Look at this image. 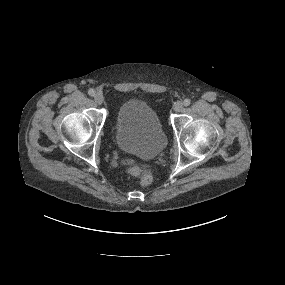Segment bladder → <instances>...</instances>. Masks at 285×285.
<instances>
[{
  "instance_id": "bladder-1",
  "label": "bladder",
  "mask_w": 285,
  "mask_h": 285,
  "mask_svg": "<svg viewBox=\"0 0 285 285\" xmlns=\"http://www.w3.org/2000/svg\"><path fill=\"white\" fill-rule=\"evenodd\" d=\"M116 143L143 158H154L166 147L167 137L157 112L138 99L126 101L116 119Z\"/></svg>"
}]
</instances>
